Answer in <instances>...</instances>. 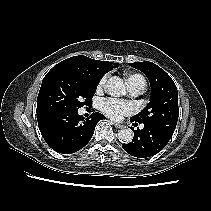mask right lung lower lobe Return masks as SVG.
<instances>
[{"instance_id":"right-lung-lower-lobe-1","label":"right lung lower lobe","mask_w":211,"mask_h":211,"mask_svg":"<svg viewBox=\"0 0 211 211\" xmlns=\"http://www.w3.org/2000/svg\"><path fill=\"white\" fill-rule=\"evenodd\" d=\"M105 117L93 113L84 119L78 110L53 109L37 112L40 132L46 143L62 154H72L82 149L93 136L96 124Z\"/></svg>"}]
</instances>
